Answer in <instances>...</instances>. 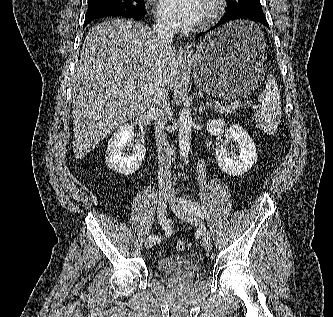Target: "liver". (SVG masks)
<instances>
[{"instance_id":"1","label":"liver","mask_w":333,"mask_h":317,"mask_svg":"<svg viewBox=\"0 0 333 317\" xmlns=\"http://www.w3.org/2000/svg\"><path fill=\"white\" fill-rule=\"evenodd\" d=\"M171 45L139 22L112 19L93 27L83 43L72 83L73 152L82 158L119 125L143 114L162 77L178 74Z\"/></svg>"}]
</instances>
